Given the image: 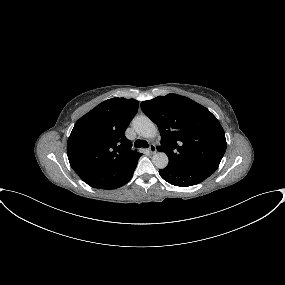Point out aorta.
<instances>
[{
  "mask_svg": "<svg viewBox=\"0 0 285 285\" xmlns=\"http://www.w3.org/2000/svg\"><path fill=\"white\" fill-rule=\"evenodd\" d=\"M133 127L144 138H154L158 133L156 125L145 115L135 117ZM152 162L157 168L164 169L167 167L169 159L164 152H157L152 156Z\"/></svg>",
  "mask_w": 285,
  "mask_h": 285,
  "instance_id": "1",
  "label": "aorta"
}]
</instances>
